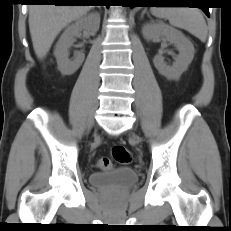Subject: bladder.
<instances>
[{"instance_id":"bladder-1","label":"bladder","mask_w":231,"mask_h":231,"mask_svg":"<svg viewBox=\"0 0 231 231\" xmlns=\"http://www.w3.org/2000/svg\"><path fill=\"white\" fill-rule=\"evenodd\" d=\"M88 180L94 188L120 191L134 186L138 182V175L129 168H117L90 174Z\"/></svg>"}]
</instances>
